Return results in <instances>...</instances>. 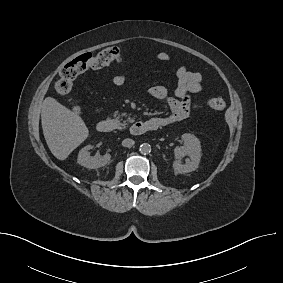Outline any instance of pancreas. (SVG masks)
I'll return each instance as SVG.
<instances>
[{
  "instance_id": "cf45deb5",
  "label": "pancreas",
  "mask_w": 283,
  "mask_h": 283,
  "mask_svg": "<svg viewBox=\"0 0 283 283\" xmlns=\"http://www.w3.org/2000/svg\"><path fill=\"white\" fill-rule=\"evenodd\" d=\"M116 121L118 122V128L119 129H124L127 126V122L132 123V122H134V119L128 118L127 121H123V122H120L118 119H116Z\"/></svg>"
}]
</instances>
